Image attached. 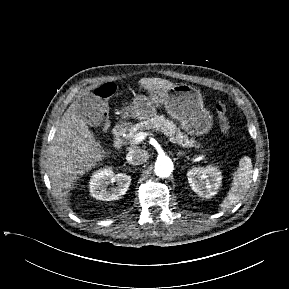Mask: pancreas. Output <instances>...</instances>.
Here are the masks:
<instances>
[{"mask_svg": "<svg viewBox=\"0 0 289 289\" xmlns=\"http://www.w3.org/2000/svg\"><path fill=\"white\" fill-rule=\"evenodd\" d=\"M150 129L161 131L166 136L170 137L171 142L177 143L183 147L195 146V141L193 139H189L186 134L184 135L180 131L173 121L166 119L163 115H154L146 121H141L140 123L132 125L127 134V138L131 144H138L139 142L135 141L137 133Z\"/></svg>", "mask_w": 289, "mask_h": 289, "instance_id": "1", "label": "pancreas"}]
</instances>
